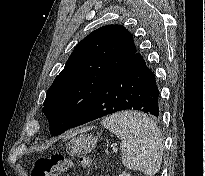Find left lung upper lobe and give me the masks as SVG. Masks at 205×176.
Segmentation results:
<instances>
[{
  "instance_id": "5c2ea615",
  "label": "left lung upper lobe",
  "mask_w": 205,
  "mask_h": 176,
  "mask_svg": "<svg viewBox=\"0 0 205 176\" xmlns=\"http://www.w3.org/2000/svg\"><path fill=\"white\" fill-rule=\"evenodd\" d=\"M132 34L122 25H106L74 48L46 94L43 112L57 136L70 129L98 89L135 53Z\"/></svg>"
}]
</instances>
